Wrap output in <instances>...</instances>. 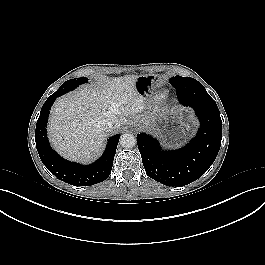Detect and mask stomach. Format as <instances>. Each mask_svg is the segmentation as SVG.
<instances>
[{"label": "stomach", "instance_id": "obj_1", "mask_svg": "<svg viewBox=\"0 0 265 265\" xmlns=\"http://www.w3.org/2000/svg\"><path fill=\"white\" fill-rule=\"evenodd\" d=\"M159 81V77L154 74L140 75L136 87L146 97ZM149 126L157 130L156 141L164 149L183 146L195 132L192 116L181 106H168L160 110L149 120Z\"/></svg>", "mask_w": 265, "mask_h": 265}]
</instances>
